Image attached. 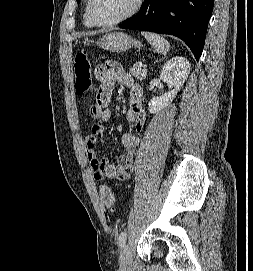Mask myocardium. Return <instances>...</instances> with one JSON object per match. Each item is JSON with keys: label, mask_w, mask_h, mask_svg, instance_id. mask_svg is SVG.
<instances>
[{"label": "myocardium", "mask_w": 253, "mask_h": 271, "mask_svg": "<svg viewBox=\"0 0 253 271\" xmlns=\"http://www.w3.org/2000/svg\"><path fill=\"white\" fill-rule=\"evenodd\" d=\"M143 3H144V0H135L133 7L126 14H124L120 18L113 20L111 22L103 23V22H100L94 14V10H93L94 0H88V14H89V17H90L92 23L95 26L101 27V28H109V27L116 26V25L130 19L134 15H136L139 12V10L141 9Z\"/></svg>", "instance_id": "f54148a6"}]
</instances>
